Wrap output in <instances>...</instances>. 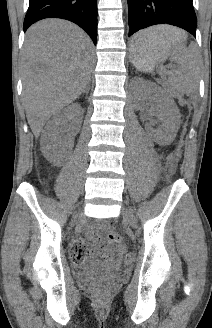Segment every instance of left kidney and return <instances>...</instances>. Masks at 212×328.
Returning a JSON list of instances; mask_svg holds the SVG:
<instances>
[{"mask_svg": "<svg viewBox=\"0 0 212 328\" xmlns=\"http://www.w3.org/2000/svg\"><path fill=\"white\" fill-rule=\"evenodd\" d=\"M132 82L138 88L136 105L139 107L144 100L148 99L158 111V118L162 122L159 129H153L151 125H146V129L152 134L156 142L162 144L171 142L180 125V113L176 103L154 83L141 78H135Z\"/></svg>", "mask_w": 212, "mask_h": 328, "instance_id": "5707ae66", "label": "left kidney"}]
</instances>
